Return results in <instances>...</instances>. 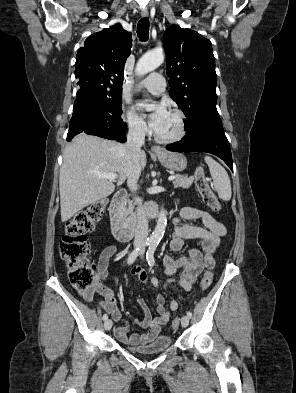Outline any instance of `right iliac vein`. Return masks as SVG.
Returning <instances> with one entry per match:
<instances>
[{"instance_id":"1","label":"right iliac vein","mask_w":296,"mask_h":393,"mask_svg":"<svg viewBox=\"0 0 296 393\" xmlns=\"http://www.w3.org/2000/svg\"><path fill=\"white\" fill-rule=\"evenodd\" d=\"M112 320H110V319H108V320H106L105 322H104V328L106 329V330H110L111 329V327H112Z\"/></svg>"}]
</instances>
